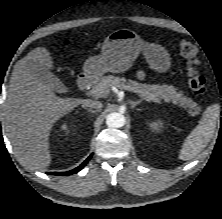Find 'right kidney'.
<instances>
[{
    "mask_svg": "<svg viewBox=\"0 0 222 219\" xmlns=\"http://www.w3.org/2000/svg\"><path fill=\"white\" fill-rule=\"evenodd\" d=\"M62 128H63V130H68L67 125H63Z\"/></svg>",
    "mask_w": 222,
    "mask_h": 219,
    "instance_id": "right-kidney-1",
    "label": "right kidney"
}]
</instances>
